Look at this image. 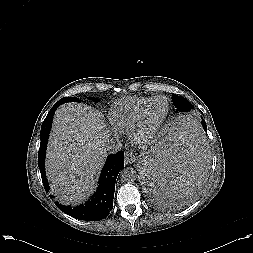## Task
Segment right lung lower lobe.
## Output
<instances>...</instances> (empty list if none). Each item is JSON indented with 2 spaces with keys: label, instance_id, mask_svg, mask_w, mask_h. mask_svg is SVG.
<instances>
[{
  "label": "right lung lower lobe",
  "instance_id": "obj_1",
  "mask_svg": "<svg viewBox=\"0 0 253 253\" xmlns=\"http://www.w3.org/2000/svg\"><path fill=\"white\" fill-rule=\"evenodd\" d=\"M60 105L61 103L57 102L52 107L41 127L38 166L46 192L49 191V185L45 174L46 146L55 110ZM122 168H124V152L119 151L116 154L109 155L101 171L97 191L88 202L77 207L63 206L59 204V202H55L56 206L67 215L79 220L98 221L104 219L110 214L113 208L115 182Z\"/></svg>",
  "mask_w": 253,
  "mask_h": 253
}]
</instances>
